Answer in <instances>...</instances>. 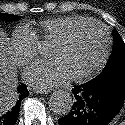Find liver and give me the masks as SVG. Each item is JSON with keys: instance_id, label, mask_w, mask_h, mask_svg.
Returning <instances> with one entry per match:
<instances>
[{"instance_id": "1", "label": "liver", "mask_w": 125, "mask_h": 125, "mask_svg": "<svg viewBox=\"0 0 125 125\" xmlns=\"http://www.w3.org/2000/svg\"><path fill=\"white\" fill-rule=\"evenodd\" d=\"M17 75L9 49V39L0 29V115L14 103Z\"/></svg>"}]
</instances>
